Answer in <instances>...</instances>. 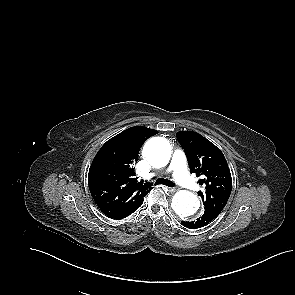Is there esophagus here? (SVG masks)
I'll use <instances>...</instances> for the list:
<instances>
[{
  "instance_id": "obj_1",
  "label": "esophagus",
  "mask_w": 295,
  "mask_h": 295,
  "mask_svg": "<svg viewBox=\"0 0 295 295\" xmlns=\"http://www.w3.org/2000/svg\"><path fill=\"white\" fill-rule=\"evenodd\" d=\"M168 191H169L170 193H175L176 191H178V189H177V188H172V187H170V188H168Z\"/></svg>"
}]
</instances>
